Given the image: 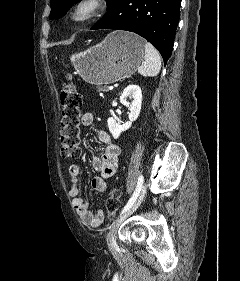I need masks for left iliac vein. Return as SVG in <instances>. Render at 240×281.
I'll use <instances>...</instances> for the list:
<instances>
[{"instance_id": "4c4485c4", "label": "left iliac vein", "mask_w": 240, "mask_h": 281, "mask_svg": "<svg viewBox=\"0 0 240 281\" xmlns=\"http://www.w3.org/2000/svg\"><path fill=\"white\" fill-rule=\"evenodd\" d=\"M146 189H147V185L144 184L142 186V188L139 192L138 198L134 202V204L127 211H125L123 214H121L120 217L110 227L109 233L107 234V244L112 253H116V251H117L116 233H117L118 228L139 207V205L143 201V198L146 194Z\"/></svg>"}]
</instances>
